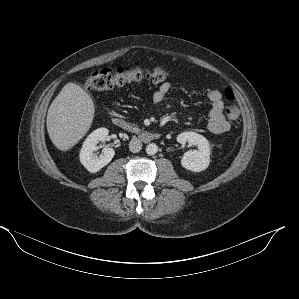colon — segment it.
Returning <instances> with one entry per match:
<instances>
[{"mask_svg": "<svg viewBox=\"0 0 299 299\" xmlns=\"http://www.w3.org/2000/svg\"><path fill=\"white\" fill-rule=\"evenodd\" d=\"M170 77V73L163 67H116L96 71L86 78L85 85L90 90L104 91L125 83L147 79L154 83H160ZM224 98L229 103L225 109L227 117L237 121L240 116V109L234 103L235 95L232 89L226 88Z\"/></svg>", "mask_w": 299, "mask_h": 299, "instance_id": "5ec220e1", "label": "colon"}]
</instances>
